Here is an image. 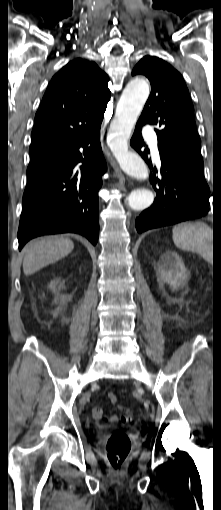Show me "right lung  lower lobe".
<instances>
[{"label":"right lung lower lobe","instance_id":"98d812e1","mask_svg":"<svg viewBox=\"0 0 221 510\" xmlns=\"http://www.w3.org/2000/svg\"><path fill=\"white\" fill-rule=\"evenodd\" d=\"M100 127L56 149L31 158L23 195L19 250L30 239L57 233H77L93 245L98 241V191L107 166ZM82 163L80 171H75Z\"/></svg>","mask_w":221,"mask_h":510}]
</instances>
